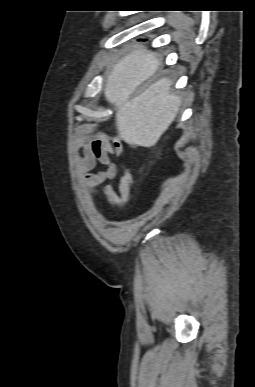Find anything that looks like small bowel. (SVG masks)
I'll use <instances>...</instances> for the list:
<instances>
[{
  "instance_id": "1",
  "label": "small bowel",
  "mask_w": 255,
  "mask_h": 387,
  "mask_svg": "<svg viewBox=\"0 0 255 387\" xmlns=\"http://www.w3.org/2000/svg\"><path fill=\"white\" fill-rule=\"evenodd\" d=\"M76 142L77 149L81 152L78 172L82 175L89 192L96 196V187L105 181L114 179L117 175L118 169L110 155L120 156L125 151V145L119 140H111L105 136L91 139L82 130L77 133ZM98 164H102L105 168L96 171ZM133 181V173L129 169H124L119 180L118 191H115L111 185H106L104 194L109 204L119 207L127 206Z\"/></svg>"
}]
</instances>
